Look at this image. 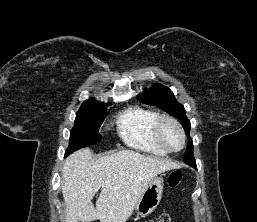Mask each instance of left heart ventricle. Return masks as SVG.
I'll return each instance as SVG.
<instances>
[{
    "label": "left heart ventricle",
    "mask_w": 257,
    "mask_h": 222,
    "mask_svg": "<svg viewBox=\"0 0 257 222\" xmlns=\"http://www.w3.org/2000/svg\"><path fill=\"white\" fill-rule=\"evenodd\" d=\"M161 135L170 149H179L182 146V137L179 130L171 123H164Z\"/></svg>",
    "instance_id": "left-heart-ventricle-1"
}]
</instances>
